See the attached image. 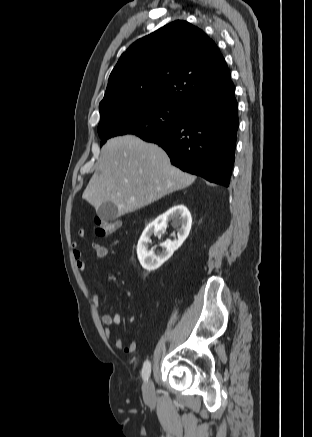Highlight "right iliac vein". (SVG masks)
Wrapping results in <instances>:
<instances>
[{
  "label": "right iliac vein",
  "instance_id": "1",
  "mask_svg": "<svg viewBox=\"0 0 312 437\" xmlns=\"http://www.w3.org/2000/svg\"><path fill=\"white\" fill-rule=\"evenodd\" d=\"M143 396L148 401L151 402L154 399V386L151 380L147 381L143 386Z\"/></svg>",
  "mask_w": 312,
  "mask_h": 437
}]
</instances>
